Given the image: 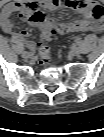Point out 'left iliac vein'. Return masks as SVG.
Instances as JSON below:
<instances>
[{
	"label": "left iliac vein",
	"mask_w": 104,
	"mask_h": 137,
	"mask_svg": "<svg viewBox=\"0 0 104 137\" xmlns=\"http://www.w3.org/2000/svg\"><path fill=\"white\" fill-rule=\"evenodd\" d=\"M71 53L74 56H78V55H80L81 50L78 47H74V48H72Z\"/></svg>",
	"instance_id": "4c4485c4"
}]
</instances>
